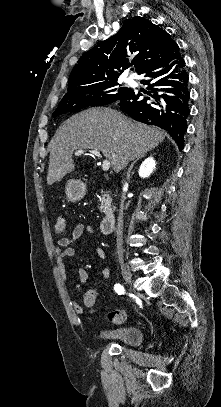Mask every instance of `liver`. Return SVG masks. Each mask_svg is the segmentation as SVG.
I'll return each instance as SVG.
<instances>
[{
    "label": "liver",
    "mask_w": 221,
    "mask_h": 407,
    "mask_svg": "<svg viewBox=\"0 0 221 407\" xmlns=\"http://www.w3.org/2000/svg\"><path fill=\"white\" fill-rule=\"evenodd\" d=\"M165 136L164 130L135 122L108 107L82 111L67 119L48 145L47 184L60 181L75 169V150L100 151L112 169L120 172L130 161L158 146Z\"/></svg>",
    "instance_id": "obj_1"
}]
</instances>
